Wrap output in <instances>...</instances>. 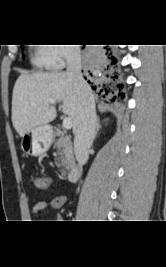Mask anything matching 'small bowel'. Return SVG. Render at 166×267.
<instances>
[{
    "label": "small bowel",
    "mask_w": 166,
    "mask_h": 267,
    "mask_svg": "<svg viewBox=\"0 0 166 267\" xmlns=\"http://www.w3.org/2000/svg\"><path fill=\"white\" fill-rule=\"evenodd\" d=\"M67 201V197L65 195H56L49 200L38 202L34 205L33 211L35 213H41L46 211L47 209H61ZM61 215H57V219H61Z\"/></svg>",
    "instance_id": "1"
}]
</instances>
